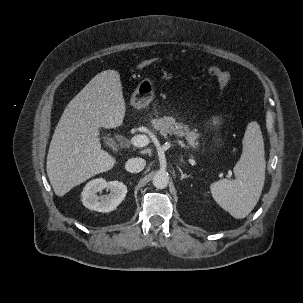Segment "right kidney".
<instances>
[{"label":"right kidney","instance_id":"obj_1","mask_svg":"<svg viewBox=\"0 0 303 303\" xmlns=\"http://www.w3.org/2000/svg\"><path fill=\"white\" fill-rule=\"evenodd\" d=\"M105 188L110 190L108 195L98 196ZM127 194V187L119 181L107 182L102 178L89 181L82 191V203L98 212H111L123 201Z\"/></svg>","mask_w":303,"mask_h":303}]
</instances>
